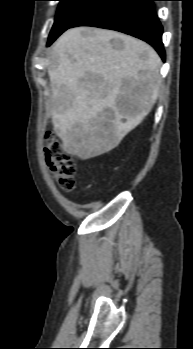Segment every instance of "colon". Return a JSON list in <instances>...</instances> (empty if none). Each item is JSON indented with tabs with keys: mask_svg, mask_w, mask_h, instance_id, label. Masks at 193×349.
Listing matches in <instances>:
<instances>
[{
	"mask_svg": "<svg viewBox=\"0 0 193 349\" xmlns=\"http://www.w3.org/2000/svg\"><path fill=\"white\" fill-rule=\"evenodd\" d=\"M45 158L50 173L58 185L65 191H72L75 187L76 166L73 157L68 154L62 143L54 136H46Z\"/></svg>",
	"mask_w": 193,
	"mask_h": 349,
	"instance_id": "5ec220e1",
	"label": "colon"
}]
</instances>
